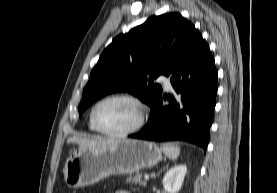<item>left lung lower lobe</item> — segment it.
I'll return each instance as SVG.
<instances>
[{
  "instance_id": "0a47b994",
  "label": "left lung lower lobe",
  "mask_w": 277,
  "mask_h": 193,
  "mask_svg": "<svg viewBox=\"0 0 277 193\" xmlns=\"http://www.w3.org/2000/svg\"><path fill=\"white\" fill-rule=\"evenodd\" d=\"M172 96L160 97L152 108L147 126L131 138L185 140L206 151L216 104L217 72L214 58L199 34L185 59L172 71ZM163 99L170 103L163 105Z\"/></svg>"
}]
</instances>
